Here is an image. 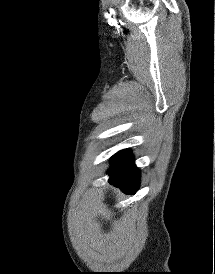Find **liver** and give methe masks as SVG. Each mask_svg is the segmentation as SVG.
<instances>
[{
  "label": "liver",
  "mask_w": 215,
  "mask_h": 274,
  "mask_svg": "<svg viewBox=\"0 0 215 274\" xmlns=\"http://www.w3.org/2000/svg\"><path fill=\"white\" fill-rule=\"evenodd\" d=\"M74 225L77 243L82 244L87 242L90 239V233L95 228L92 222L83 213H79L74 218Z\"/></svg>",
  "instance_id": "6515ba94"
}]
</instances>
